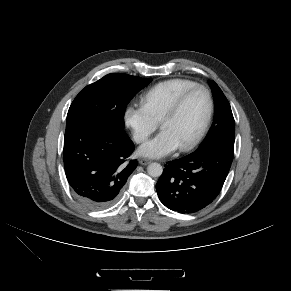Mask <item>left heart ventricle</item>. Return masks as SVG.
I'll list each match as a JSON object with an SVG mask.
<instances>
[{"instance_id": "1", "label": "left heart ventricle", "mask_w": 291, "mask_h": 291, "mask_svg": "<svg viewBox=\"0 0 291 291\" xmlns=\"http://www.w3.org/2000/svg\"><path fill=\"white\" fill-rule=\"evenodd\" d=\"M208 108L207 96L202 90L191 93L175 116L166 120L162 130L169 131L179 146L186 144L198 132Z\"/></svg>"}]
</instances>
